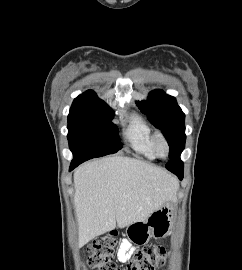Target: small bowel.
<instances>
[{
	"label": "small bowel",
	"mask_w": 242,
	"mask_h": 270,
	"mask_svg": "<svg viewBox=\"0 0 242 270\" xmlns=\"http://www.w3.org/2000/svg\"><path fill=\"white\" fill-rule=\"evenodd\" d=\"M130 250H131V245L127 241H123L120 245V249L118 252V259L119 260L128 259Z\"/></svg>",
	"instance_id": "1"
}]
</instances>
